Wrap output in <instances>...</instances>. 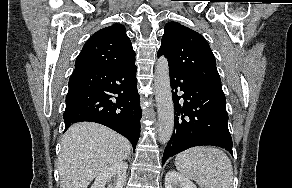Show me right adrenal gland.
I'll use <instances>...</instances> for the list:
<instances>
[{"mask_svg": "<svg viewBox=\"0 0 292 188\" xmlns=\"http://www.w3.org/2000/svg\"><path fill=\"white\" fill-rule=\"evenodd\" d=\"M128 160H130V156H128V158H127Z\"/></svg>", "mask_w": 292, "mask_h": 188, "instance_id": "2a0ac1e0", "label": "right adrenal gland"}]
</instances>
